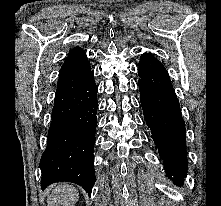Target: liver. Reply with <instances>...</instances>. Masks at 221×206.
I'll return each mask as SVG.
<instances>
[{
    "label": "liver",
    "mask_w": 221,
    "mask_h": 206,
    "mask_svg": "<svg viewBox=\"0 0 221 206\" xmlns=\"http://www.w3.org/2000/svg\"><path fill=\"white\" fill-rule=\"evenodd\" d=\"M79 199L77 189L69 183H60L47 199L48 206H74Z\"/></svg>",
    "instance_id": "1"
}]
</instances>
